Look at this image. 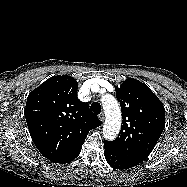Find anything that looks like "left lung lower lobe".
<instances>
[{
    "label": "left lung lower lobe",
    "mask_w": 187,
    "mask_h": 187,
    "mask_svg": "<svg viewBox=\"0 0 187 187\" xmlns=\"http://www.w3.org/2000/svg\"><path fill=\"white\" fill-rule=\"evenodd\" d=\"M104 145H105L104 154H105L106 161L114 169L124 170L128 168H132L139 164V162L132 160L119 153L113 147L108 145L106 141H104Z\"/></svg>",
    "instance_id": "left-lung-lower-lobe-1"
}]
</instances>
